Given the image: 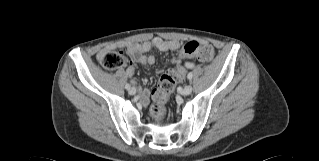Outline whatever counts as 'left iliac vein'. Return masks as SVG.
<instances>
[{"mask_svg": "<svg viewBox=\"0 0 319 161\" xmlns=\"http://www.w3.org/2000/svg\"><path fill=\"white\" fill-rule=\"evenodd\" d=\"M192 89H193V88H192L191 85H186V86L183 88L181 94L184 95V96H188V95L191 94Z\"/></svg>", "mask_w": 319, "mask_h": 161, "instance_id": "1", "label": "left iliac vein"}]
</instances>
